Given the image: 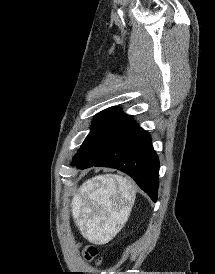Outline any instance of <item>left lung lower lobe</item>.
Listing matches in <instances>:
<instances>
[{
	"mask_svg": "<svg viewBox=\"0 0 215 274\" xmlns=\"http://www.w3.org/2000/svg\"><path fill=\"white\" fill-rule=\"evenodd\" d=\"M73 166L115 168L131 176L155 202L158 191L159 159L149 134L133 119L119 126L90 154Z\"/></svg>",
	"mask_w": 215,
	"mask_h": 274,
	"instance_id": "0a47b994",
	"label": "left lung lower lobe"
}]
</instances>
